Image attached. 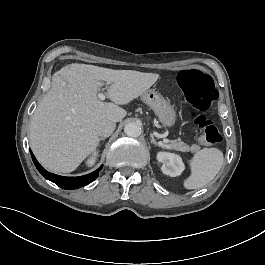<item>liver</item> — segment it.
<instances>
[{
	"label": "liver",
	"instance_id": "6515ba94",
	"mask_svg": "<svg viewBox=\"0 0 265 265\" xmlns=\"http://www.w3.org/2000/svg\"><path fill=\"white\" fill-rule=\"evenodd\" d=\"M159 74L112 70L71 63L53 74L52 84L36 108L30 124V145L48 170L69 173L94 153L100 143L101 120L120 122L127 105L151 88ZM101 81L111 84V102L99 100Z\"/></svg>",
	"mask_w": 265,
	"mask_h": 265
}]
</instances>
